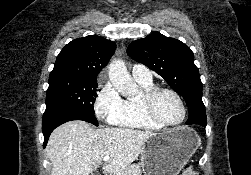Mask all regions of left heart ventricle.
Masks as SVG:
<instances>
[{"instance_id": "b2bd125f", "label": "left heart ventricle", "mask_w": 251, "mask_h": 175, "mask_svg": "<svg viewBox=\"0 0 251 175\" xmlns=\"http://www.w3.org/2000/svg\"><path fill=\"white\" fill-rule=\"evenodd\" d=\"M157 116L166 124L176 125L183 118V109L177 97L171 92H161L154 100Z\"/></svg>"}]
</instances>
